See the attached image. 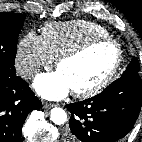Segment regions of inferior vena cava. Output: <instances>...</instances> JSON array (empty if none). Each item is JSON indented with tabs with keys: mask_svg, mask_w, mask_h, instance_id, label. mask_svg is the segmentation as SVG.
Returning <instances> with one entry per match:
<instances>
[{
	"mask_svg": "<svg viewBox=\"0 0 142 142\" xmlns=\"http://www.w3.org/2000/svg\"><path fill=\"white\" fill-rule=\"evenodd\" d=\"M37 73V69L34 67L26 68L20 71V76L24 79H29Z\"/></svg>",
	"mask_w": 142,
	"mask_h": 142,
	"instance_id": "inferior-vena-cava-1",
	"label": "inferior vena cava"
}]
</instances>
